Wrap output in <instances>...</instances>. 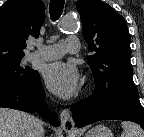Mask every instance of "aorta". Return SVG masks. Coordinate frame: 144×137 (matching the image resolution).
I'll return each mask as SVG.
<instances>
[{"label":"aorta","instance_id":"obj_1","mask_svg":"<svg viewBox=\"0 0 144 137\" xmlns=\"http://www.w3.org/2000/svg\"><path fill=\"white\" fill-rule=\"evenodd\" d=\"M60 28L64 31H76L79 27V24L74 18H65L60 22Z\"/></svg>","mask_w":144,"mask_h":137}]
</instances>
